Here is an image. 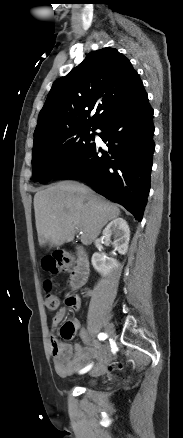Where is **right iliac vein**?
<instances>
[{
	"instance_id": "1",
	"label": "right iliac vein",
	"mask_w": 183,
	"mask_h": 438,
	"mask_svg": "<svg viewBox=\"0 0 183 438\" xmlns=\"http://www.w3.org/2000/svg\"><path fill=\"white\" fill-rule=\"evenodd\" d=\"M105 331H106L110 336H112V337L115 336V332H114L113 326H112L111 324H108V325L105 327ZM92 373H94V370H92Z\"/></svg>"
}]
</instances>
